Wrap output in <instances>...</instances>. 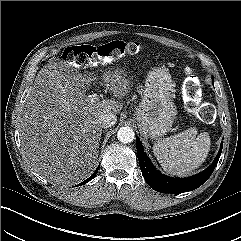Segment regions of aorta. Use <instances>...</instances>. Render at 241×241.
I'll return each mask as SVG.
<instances>
[{"instance_id": "1", "label": "aorta", "mask_w": 241, "mask_h": 241, "mask_svg": "<svg viewBox=\"0 0 241 241\" xmlns=\"http://www.w3.org/2000/svg\"><path fill=\"white\" fill-rule=\"evenodd\" d=\"M117 138L122 143H130L135 138V133L133 129L129 126L121 127L118 130Z\"/></svg>"}]
</instances>
